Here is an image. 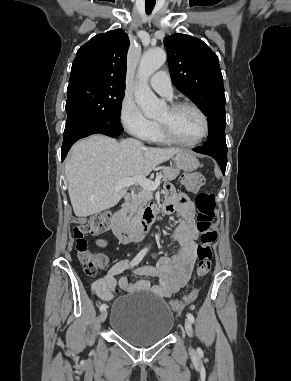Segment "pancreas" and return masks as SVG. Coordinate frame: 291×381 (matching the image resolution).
<instances>
[{
  "mask_svg": "<svg viewBox=\"0 0 291 381\" xmlns=\"http://www.w3.org/2000/svg\"><path fill=\"white\" fill-rule=\"evenodd\" d=\"M179 170L171 167H164L159 175H163L165 182L174 180L179 175ZM153 199V192L151 190L142 189L137 195L133 197L130 205L128 206L127 220L131 225H136L142 218L143 211L147 203Z\"/></svg>",
  "mask_w": 291,
  "mask_h": 381,
  "instance_id": "pancreas-1",
  "label": "pancreas"
}]
</instances>
